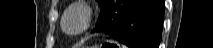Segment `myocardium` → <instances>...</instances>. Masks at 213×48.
I'll list each match as a JSON object with an SVG mask.
<instances>
[{
    "mask_svg": "<svg viewBox=\"0 0 213 48\" xmlns=\"http://www.w3.org/2000/svg\"><path fill=\"white\" fill-rule=\"evenodd\" d=\"M74 10L80 11L82 13L83 26L78 31L69 32L65 27V20H66L67 16ZM92 19H93V10L89 5H87L83 2L73 3L71 6H69L64 11V13L62 15L61 28L66 34H68L70 36L80 35L89 29Z\"/></svg>",
    "mask_w": 213,
    "mask_h": 48,
    "instance_id": "1",
    "label": "myocardium"
}]
</instances>
